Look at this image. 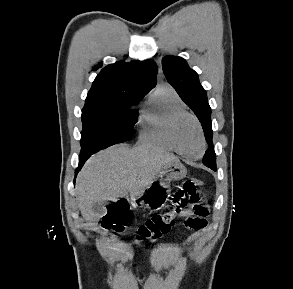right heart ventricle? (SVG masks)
I'll return each instance as SVG.
<instances>
[{
    "label": "right heart ventricle",
    "instance_id": "obj_1",
    "mask_svg": "<svg viewBox=\"0 0 293 289\" xmlns=\"http://www.w3.org/2000/svg\"><path fill=\"white\" fill-rule=\"evenodd\" d=\"M181 111L187 109L176 91L168 85L158 86L139 112L140 141L175 152L169 140V124L172 117Z\"/></svg>",
    "mask_w": 293,
    "mask_h": 289
}]
</instances>
